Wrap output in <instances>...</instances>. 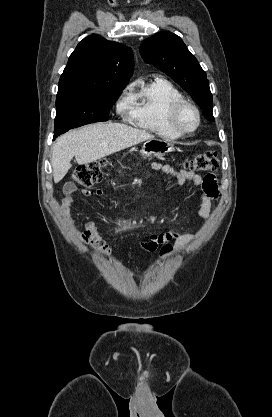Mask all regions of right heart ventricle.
<instances>
[{
	"mask_svg": "<svg viewBox=\"0 0 272 417\" xmlns=\"http://www.w3.org/2000/svg\"><path fill=\"white\" fill-rule=\"evenodd\" d=\"M180 99H183L182 93L163 78L140 84L130 97L129 121L162 138L177 139L180 135L169 127L167 112L171 103Z\"/></svg>",
	"mask_w": 272,
	"mask_h": 417,
	"instance_id": "1",
	"label": "right heart ventricle"
}]
</instances>
